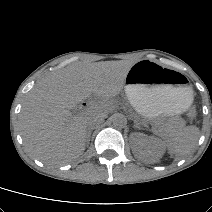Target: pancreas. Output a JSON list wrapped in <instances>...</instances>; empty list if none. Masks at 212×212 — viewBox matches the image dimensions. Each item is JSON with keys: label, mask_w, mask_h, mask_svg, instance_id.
<instances>
[{"label": "pancreas", "mask_w": 212, "mask_h": 212, "mask_svg": "<svg viewBox=\"0 0 212 212\" xmlns=\"http://www.w3.org/2000/svg\"><path fill=\"white\" fill-rule=\"evenodd\" d=\"M166 130H167L168 133H171V132L174 131V128L173 127H168Z\"/></svg>", "instance_id": "obj_1"}]
</instances>
